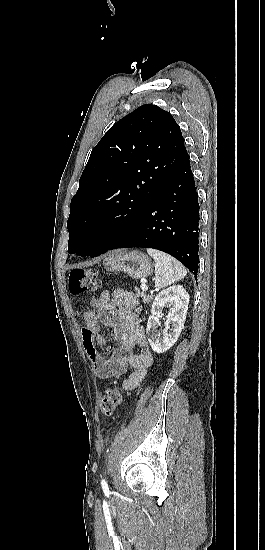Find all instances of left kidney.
<instances>
[{
    "mask_svg": "<svg viewBox=\"0 0 265 550\" xmlns=\"http://www.w3.org/2000/svg\"><path fill=\"white\" fill-rule=\"evenodd\" d=\"M189 304V294L181 285H173L160 291L152 304L151 315L148 318L146 333L151 348L156 353H164L177 341L186 320ZM163 308H169L165 330L161 338L160 318L163 317ZM171 325V328H170Z\"/></svg>",
    "mask_w": 265,
    "mask_h": 550,
    "instance_id": "5707ae66",
    "label": "left kidney"
}]
</instances>
